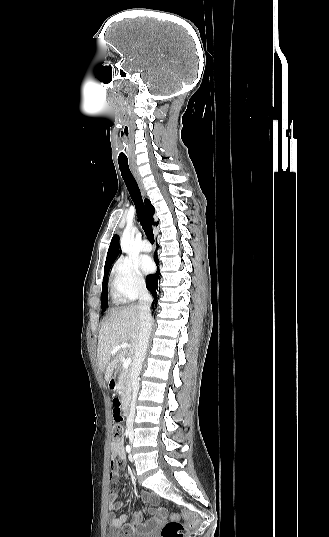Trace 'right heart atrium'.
Segmentation results:
<instances>
[{
    "label": "right heart atrium",
    "instance_id": "right-heart-atrium-1",
    "mask_svg": "<svg viewBox=\"0 0 329 537\" xmlns=\"http://www.w3.org/2000/svg\"><path fill=\"white\" fill-rule=\"evenodd\" d=\"M111 288L120 301H132L146 289L137 264L128 258L118 259L111 269Z\"/></svg>",
    "mask_w": 329,
    "mask_h": 537
}]
</instances>
